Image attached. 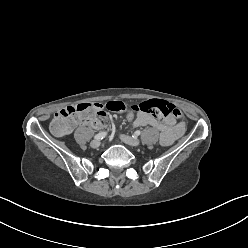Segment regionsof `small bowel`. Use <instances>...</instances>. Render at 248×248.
I'll list each match as a JSON object with an SVG mask.
<instances>
[{"label":"small bowel","mask_w":248,"mask_h":248,"mask_svg":"<svg viewBox=\"0 0 248 248\" xmlns=\"http://www.w3.org/2000/svg\"><path fill=\"white\" fill-rule=\"evenodd\" d=\"M131 123L134 128L152 126L159 130V141L162 146L171 145L183 134L182 124H177L172 116H168L159 120L149 114L139 112L136 115L134 114V120ZM117 135L118 132L114 131L112 140L115 144L119 143Z\"/></svg>","instance_id":"1"}]
</instances>
